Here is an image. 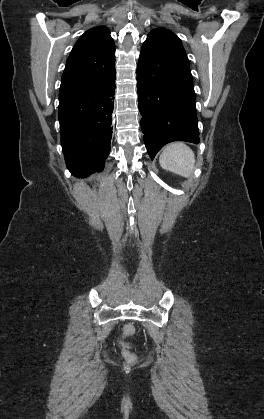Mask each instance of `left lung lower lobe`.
Listing matches in <instances>:
<instances>
[{
  "label": "left lung lower lobe",
  "instance_id": "left-lung-lower-lobe-1",
  "mask_svg": "<svg viewBox=\"0 0 264 419\" xmlns=\"http://www.w3.org/2000/svg\"><path fill=\"white\" fill-rule=\"evenodd\" d=\"M137 90L143 139L152 160L169 142H200L190 66L170 36L149 35L145 40Z\"/></svg>",
  "mask_w": 264,
  "mask_h": 419
}]
</instances>
